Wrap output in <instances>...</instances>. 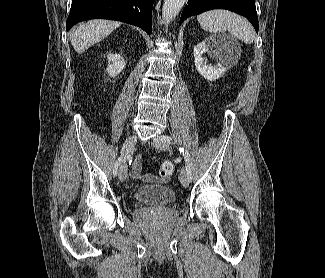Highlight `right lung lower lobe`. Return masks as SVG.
Returning a JSON list of instances; mask_svg holds the SVG:
<instances>
[{
  "instance_id": "right-lung-lower-lobe-1",
  "label": "right lung lower lobe",
  "mask_w": 325,
  "mask_h": 278,
  "mask_svg": "<svg viewBox=\"0 0 325 278\" xmlns=\"http://www.w3.org/2000/svg\"><path fill=\"white\" fill-rule=\"evenodd\" d=\"M154 0H72L66 21L69 31L75 24L89 19H111L141 27L152 32Z\"/></svg>"
}]
</instances>
